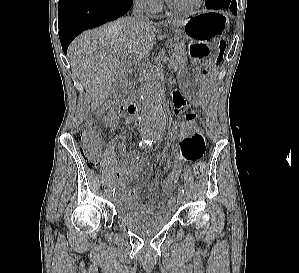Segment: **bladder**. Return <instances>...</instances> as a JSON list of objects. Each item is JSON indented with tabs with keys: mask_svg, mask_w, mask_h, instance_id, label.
Returning <instances> with one entry per match:
<instances>
[{
	"mask_svg": "<svg viewBox=\"0 0 299 273\" xmlns=\"http://www.w3.org/2000/svg\"><path fill=\"white\" fill-rule=\"evenodd\" d=\"M173 209L166 212L156 210L148 217H139L123 211H117V220L134 232L150 233L163 228L172 221Z\"/></svg>",
	"mask_w": 299,
	"mask_h": 273,
	"instance_id": "bladder-1",
	"label": "bladder"
}]
</instances>
